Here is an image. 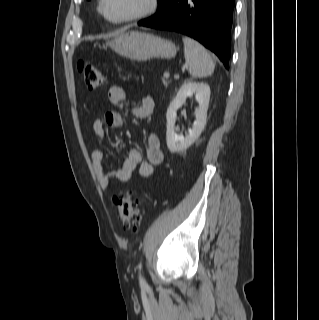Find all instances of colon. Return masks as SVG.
I'll list each match as a JSON object with an SVG mask.
<instances>
[{
    "instance_id": "5ec220e1",
    "label": "colon",
    "mask_w": 319,
    "mask_h": 320,
    "mask_svg": "<svg viewBox=\"0 0 319 320\" xmlns=\"http://www.w3.org/2000/svg\"><path fill=\"white\" fill-rule=\"evenodd\" d=\"M79 70L86 86L95 90L106 83V76L94 64L86 61L79 63ZM114 206L126 229L136 230L140 223L138 200L131 193H121L114 197Z\"/></svg>"
}]
</instances>
